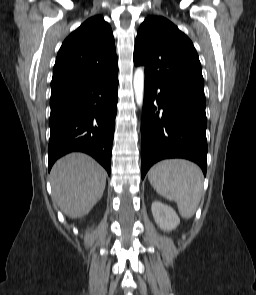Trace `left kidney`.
<instances>
[{"label": "left kidney", "mask_w": 256, "mask_h": 295, "mask_svg": "<svg viewBox=\"0 0 256 295\" xmlns=\"http://www.w3.org/2000/svg\"><path fill=\"white\" fill-rule=\"evenodd\" d=\"M151 210L156 224L164 231L174 230L180 223L178 215L168 205L155 201L152 203Z\"/></svg>", "instance_id": "left-kidney-1"}]
</instances>
